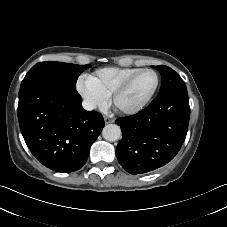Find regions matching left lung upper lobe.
<instances>
[{
  "mask_svg": "<svg viewBox=\"0 0 227 227\" xmlns=\"http://www.w3.org/2000/svg\"><path fill=\"white\" fill-rule=\"evenodd\" d=\"M155 68L162 76V84L159 94L173 89H186L183 80L173 69L165 65L155 66Z\"/></svg>",
  "mask_w": 227,
  "mask_h": 227,
  "instance_id": "5c2ea615",
  "label": "left lung upper lobe"
}]
</instances>
